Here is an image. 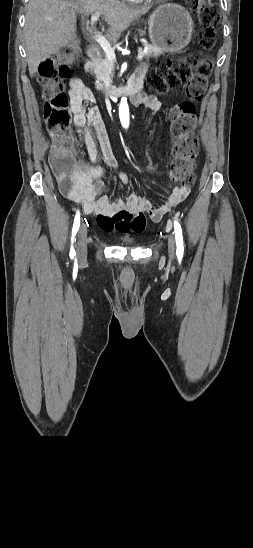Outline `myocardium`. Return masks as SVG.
Masks as SVG:
<instances>
[{"instance_id":"obj_1","label":"myocardium","mask_w":253,"mask_h":548,"mask_svg":"<svg viewBox=\"0 0 253 548\" xmlns=\"http://www.w3.org/2000/svg\"><path fill=\"white\" fill-rule=\"evenodd\" d=\"M149 1H165V0H149Z\"/></svg>"}]
</instances>
